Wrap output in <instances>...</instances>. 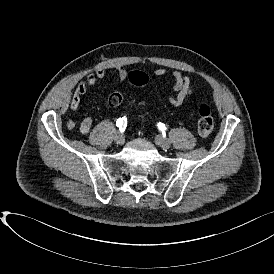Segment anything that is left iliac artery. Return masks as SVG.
Masks as SVG:
<instances>
[{"mask_svg":"<svg viewBox=\"0 0 274 274\" xmlns=\"http://www.w3.org/2000/svg\"><path fill=\"white\" fill-rule=\"evenodd\" d=\"M157 126H158V128H159L161 131L167 130V127L165 126V124H163V123H161V122H159Z\"/></svg>","mask_w":274,"mask_h":274,"instance_id":"left-iliac-artery-1","label":"left iliac artery"}]
</instances>
